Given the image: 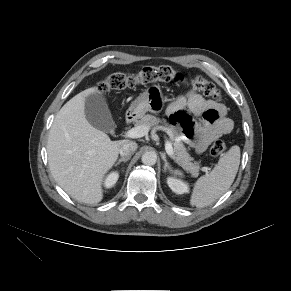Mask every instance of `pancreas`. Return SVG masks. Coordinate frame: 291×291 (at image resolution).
<instances>
[{"instance_id":"obj_1","label":"pancreas","mask_w":291,"mask_h":291,"mask_svg":"<svg viewBox=\"0 0 291 291\" xmlns=\"http://www.w3.org/2000/svg\"><path fill=\"white\" fill-rule=\"evenodd\" d=\"M160 123L163 125L159 126ZM138 125H143L150 128H156L165 131L173 139V157L174 160L193 177L199 174V164L197 162H192L193 158L190 157L189 153L183 142L180 139V135L177 129L166 123L165 120H161L153 115H145L137 123Z\"/></svg>"}]
</instances>
